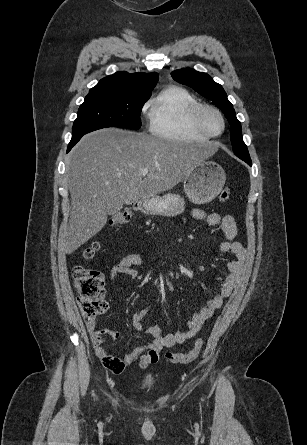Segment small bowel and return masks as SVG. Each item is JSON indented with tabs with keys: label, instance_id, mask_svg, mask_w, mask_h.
Returning <instances> with one entry per match:
<instances>
[{
	"label": "small bowel",
	"instance_id": "1",
	"mask_svg": "<svg viewBox=\"0 0 307 445\" xmlns=\"http://www.w3.org/2000/svg\"><path fill=\"white\" fill-rule=\"evenodd\" d=\"M192 216L199 220H205L210 227L221 230L225 239L217 246V253H231L235 256V259L229 260L226 264L227 275L218 278L220 282L219 291L204 307L192 315L188 321L186 330L176 333L163 335L156 326L145 327L142 321L148 313V308L136 311L131 318L133 327L139 332H145L151 335L152 341L147 346L135 347L122 358L110 355L103 347L104 335L118 338L119 334L109 330L97 329L94 320L87 322V329L93 343L94 351L108 370L114 373H121L126 366L133 364L137 359H139L142 368L156 363L159 360V353L163 349L170 348L176 344H182L192 339L201 330L204 322L212 317L214 312L223 305L225 299L231 295L238 284L246 257V249L240 242L235 240L237 236V225L233 216L229 214L206 213L201 209H193ZM144 263L145 257L141 254L126 255L118 264L110 269L108 277L110 279L117 277L135 279L138 273L134 269V266L143 265Z\"/></svg>",
	"mask_w": 307,
	"mask_h": 445
}]
</instances>
